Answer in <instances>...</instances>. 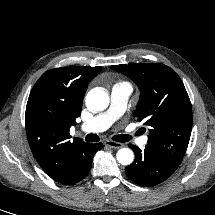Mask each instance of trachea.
Returning <instances> with one entry per match:
<instances>
[{"instance_id": "obj_1", "label": "trachea", "mask_w": 215, "mask_h": 215, "mask_svg": "<svg viewBox=\"0 0 215 215\" xmlns=\"http://www.w3.org/2000/svg\"><path fill=\"white\" fill-rule=\"evenodd\" d=\"M136 135H139V132H137ZM112 139L117 142H127V141L131 140V136L130 135H115ZM85 140L87 142H97V141H99V137L95 134H88L85 137Z\"/></svg>"}]
</instances>
